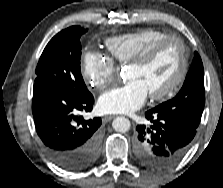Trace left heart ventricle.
<instances>
[{
  "instance_id": "left-heart-ventricle-1",
  "label": "left heart ventricle",
  "mask_w": 223,
  "mask_h": 188,
  "mask_svg": "<svg viewBox=\"0 0 223 188\" xmlns=\"http://www.w3.org/2000/svg\"><path fill=\"white\" fill-rule=\"evenodd\" d=\"M181 64V53L178 44L171 42L165 45L155 57L141 67H128L127 80L139 81L148 94L166 89L177 76Z\"/></svg>"
}]
</instances>
